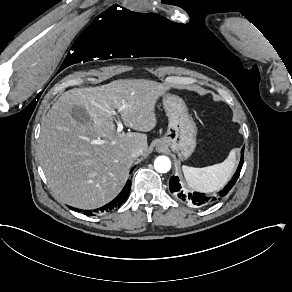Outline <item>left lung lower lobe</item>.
Returning a JSON list of instances; mask_svg holds the SVG:
<instances>
[{
    "instance_id": "0a47b994",
    "label": "left lung lower lobe",
    "mask_w": 292,
    "mask_h": 292,
    "mask_svg": "<svg viewBox=\"0 0 292 292\" xmlns=\"http://www.w3.org/2000/svg\"><path fill=\"white\" fill-rule=\"evenodd\" d=\"M243 156H244V148L241 150V160L239 166L237 168L236 173L232 177L231 181L224 187L223 190H220L216 195H205L204 193L194 192V193H186L182 190V187L179 183L178 177L172 176L169 181V188L172 194H174L180 201H183L189 205L194 204L195 206H208L217 200H220L224 196H226L229 191L232 189L234 184L236 183L240 171L243 166Z\"/></svg>"
}]
</instances>
